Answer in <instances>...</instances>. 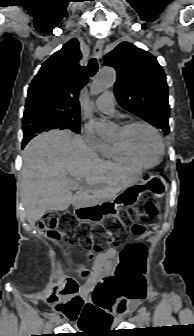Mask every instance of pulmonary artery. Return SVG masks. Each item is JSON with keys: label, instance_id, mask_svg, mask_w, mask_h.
Segmentation results:
<instances>
[{"label": "pulmonary artery", "instance_id": "e3ab8cb5", "mask_svg": "<svg viewBox=\"0 0 194 336\" xmlns=\"http://www.w3.org/2000/svg\"><path fill=\"white\" fill-rule=\"evenodd\" d=\"M97 109L107 115L114 113V95L112 92H105L96 101Z\"/></svg>", "mask_w": 194, "mask_h": 336}]
</instances>
